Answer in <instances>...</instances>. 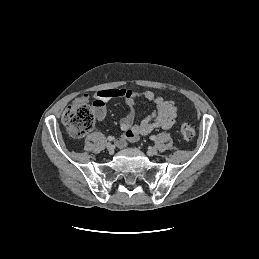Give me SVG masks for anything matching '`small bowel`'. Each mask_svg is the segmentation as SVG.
<instances>
[{
    "instance_id": "obj_1",
    "label": "small bowel",
    "mask_w": 259,
    "mask_h": 259,
    "mask_svg": "<svg viewBox=\"0 0 259 259\" xmlns=\"http://www.w3.org/2000/svg\"><path fill=\"white\" fill-rule=\"evenodd\" d=\"M114 98L125 99L129 111L120 119L122 134L118 146L123 148L128 142H137L155 129H170L175 126L179 107L173 100H166L152 91H134L131 89H103L91 95L84 94L74 104L87 103L93 100L96 118L102 121L106 116V103ZM138 99H146L156 105L157 110L139 123L135 122V109Z\"/></svg>"
}]
</instances>
